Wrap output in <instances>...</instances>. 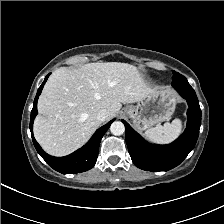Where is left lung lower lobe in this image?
<instances>
[{
  "instance_id": "1",
  "label": "left lung lower lobe",
  "mask_w": 224,
  "mask_h": 224,
  "mask_svg": "<svg viewBox=\"0 0 224 224\" xmlns=\"http://www.w3.org/2000/svg\"><path fill=\"white\" fill-rule=\"evenodd\" d=\"M172 86L187 100L188 121L184 133L169 145L147 143L129 124L125 125V138L133 163L146 171H168L178 166L194 148L201 125V109L194 89L183 76L174 80Z\"/></svg>"
}]
</instances>
